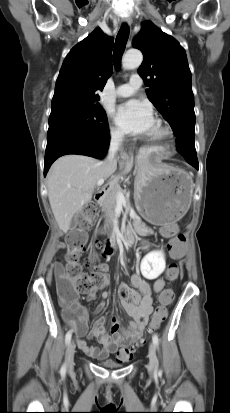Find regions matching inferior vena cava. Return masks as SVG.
Here are the masks:
<instances>
[{
  "instance_id": "obj_1",
  "label": "inferior vena cava",
  "mask_w": 230,
  "mask_h": 413,
  "mask_svg": "<svg viewBox=\"0 0 230 413\" xmlns=\"http://www.w3.org/2000/svg\"><path fill=\"white\" fill-rule=\"evenodd\" d=\"M122 139H123V134L121 132H115L112 134L109 149H108V155L105 160V164L107 166L109 167L117 166V160L115 158V155L120 147Z\"/></svg>"
}]
</instances>
